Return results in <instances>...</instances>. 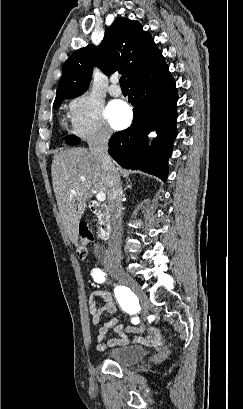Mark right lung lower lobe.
I'll use <instances>...</instances> for the list:
<instances>
[{
  "mask_svg": "<svg viewBox=\"0 0 243 409\" xmlns=\"http://www.w3.org/2000/svg\"><path fill=\"white\" fill-rule=\"evenodd\" d=\"M129 86L134 121L128 129L113 134L109 141V153L123 168L139 169L165 181L167 160L177 135L178 96L175 80L166 65ZM152 130L157 131V138L152 147H146L148 134Z\"/></svg>",
  "mask_w": 243,
  "mask_h": 409,
  "instance_id": "right-lung-lower-lobe-1",
  "label": "right lung lower lobe"
}]
</instances>
